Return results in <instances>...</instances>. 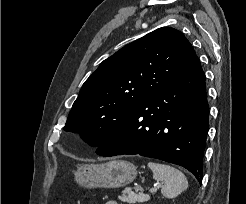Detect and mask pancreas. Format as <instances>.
Segmentation results:
<instances>
[{"label": "pancreas", "instance_id": "1", "mask_svg": "<svg viewBox=\"0 0 246 204\" xmlns=\"http://www.w3.org/2000/svg\"><path fill=\"white\" fill-rule=\"evenodd\" d=\"M119 200L125 203L129 204H135V203H143L145 201H148L150 199L149 195L139 193V194H134V195H126L125 193L122 196L118 197Z\"/></svg>", "mask_w": 246, "mask_h": 204}]
</instances>
